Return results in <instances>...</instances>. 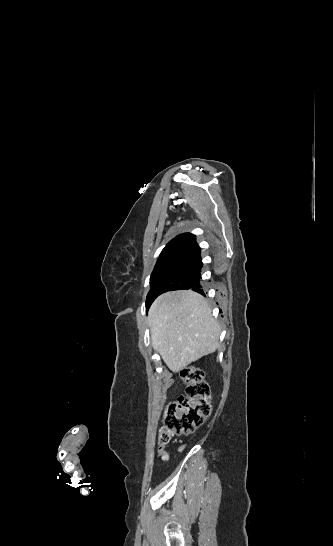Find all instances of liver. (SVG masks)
<instances>
[{
    "instance_id": "liver-1",
    "label": "liver",
    "mask_w": 333,
    "mask_h": 546,
    "mask_svg": "<svg viewBox=\"0 0 333 546\" xmlns=\"http://www.w3.org/2000/svg\"><path fill=\"white\" fill-rule=\"evenodd\" d=\"M148 324L153 348L173 372L213 353L219 345L221 328L208 301L191 290L157 297L149 309Z\"/></svg>"
}]
</instances>
